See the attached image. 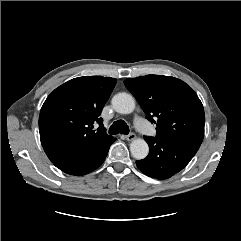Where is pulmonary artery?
Listing matches in <instances>:
<instances>
[{
  "mask_svg": "<svg viewBox=\"0 0 241 241\" xmlns=\"http://www.w3.org/2000/svg\"><path fill=\"white\" fill-rule=\"evenodd\" d=\"M136 125L138 128L142 129L143 128V122L141 120L136 121Z\"/></svg>",
  "mask_w": 241,
  "mask_h": 241,
  "instance_id": "obj_1",
  "label": "pulmonary artery"
}]
</instances>
